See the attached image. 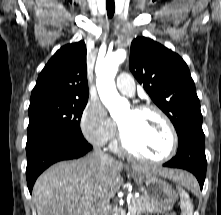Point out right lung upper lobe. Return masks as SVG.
Instances as JSON below:
<instances>
[{"label": "right lung upper lobe", "mask_w": 221, "mask_h": 215, "mask_svg": "<svg viewBox=\"0 0 221 215\" xmlns=\"http://www.w3.org/2000/svg\"><path fill=\"white\" fill-rule=\"evenodd\" d=\"M55 100H88L84 41L61 47L41 71L30 105Z\"/></svg>", "instance_id": "1"}]
</instances>
